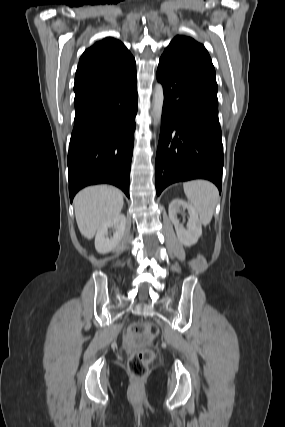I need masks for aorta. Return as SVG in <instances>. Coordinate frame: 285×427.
Here are the masks:
<instances>
[{
	"label": "aorta",
	"instance_id": "aorta-1",
	"mask_svg": "<svg viewBox=\"0 0 285 427\" xmlns=\"http://www.w3.org/2000/svg\"><path fill=\"white\" fill-rule=\"evenodd\" d=\"M163 103H164L163 87L160 83H157L154 87V93H153L152 115L154 118V125H158L161 121Z\"/></svg>",
	"mask_w": 285,
	"mask_h": 427
}]
</instances>
